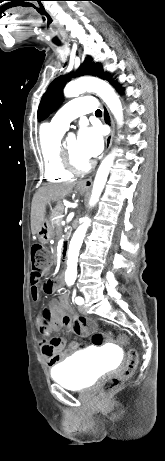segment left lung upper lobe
Masks as SVG:
<instances>
[{
  "label": "left lung upper lobe",
  "mask_w": 165,
  "mask_h": 461,
  "mask_svg": "<svg viewBox=\"0 0 165 461\" xmlns=\"http://www.w3.org/2000/svg\"><path fill=\"white\" fill-rule=\"evenodd\" d=\"M85 74H91L98 76L101 79L109 80L111 82V77L108 73L103 72L101 65L98 63H93L92 58L88 56L85 59L83 65L75 72L69 75L71 76H82ZM67 77L59 76L56 78L49 86L44 96L41 99L38 108V119H46L61 103L63 99V88L66 84Z\"/></svg>",
  "instance_id": "left-lung-upper-lobe-1"
}]
</instances>
